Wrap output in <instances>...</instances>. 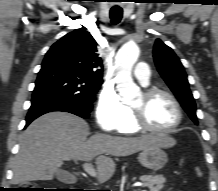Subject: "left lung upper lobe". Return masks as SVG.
I'll list each match as a JSON object with an SVG mask.
<instances>
[{"label":"left lung upper lobe","mask_w":218,"mask_h":191,"mask_svg":"<svg viewBox=\"0 0 218 191\" xmlns=\"http://www.w3.org/2000/svg\"><path fill=\"white\" fill-rule=\"evenodd\" d=\"M153 53L155 64L162 78L170 87L189 117L195 124H198L196 104L189 88L187 75L179 58L160 39L156 40Z\"/></svg>","instance_id":"left-lung-upper-lobe-1"}]
</instances>
